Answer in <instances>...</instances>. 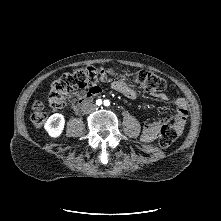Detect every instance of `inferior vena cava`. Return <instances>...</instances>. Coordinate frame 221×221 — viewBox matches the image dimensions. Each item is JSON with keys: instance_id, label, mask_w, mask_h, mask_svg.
I'll return each mask as SVG.
<instances>
[{"instance_id": "inferior-vena-cava-1", "label": "inferior vena cava", "mask_w": 221, "mask_h": 221, "mask_svg": "<svg viewBox=\"0 0 221 221\" xmlns=\"http://www.w3.org/2000/svg\"><path fill=\"white\" fill-rule=\"evenodd\" d=\"M95 109H96V105L93 104V103H89V104H87V105L85 106L84 112H85V113H90V112L94 111Z\"/></svg>"}]
</instances>
